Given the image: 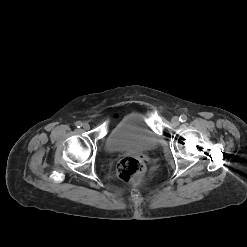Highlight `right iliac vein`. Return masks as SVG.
I'll list each match as a JSON object with an SVG mask.
<instances>
[{
	"mask_svg": "<svg viewBox=\"0 0 247 247\" xmlns=\"http://www.w3.org/2000/svg\"><path fill=\"white\" fill-rule=\"evenodd\" d=\"M83 129L84 130H89L90 129V125L88 123H84L83 124Z\"/></svg>",
	"mask_w": 247,
	"mask_h": 247,
	"instance_id": "right-iliac-vein-1",
	"label": "right iliac vein"
}]
</instances>
